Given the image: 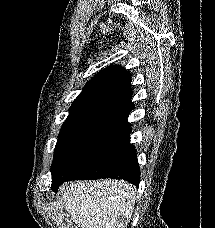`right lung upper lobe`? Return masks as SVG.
Wrapping results in <instances>:
<instances>
[{"instance_id":"right-lung-upper-lobe-1","label":"right lung upper lobe","mask_w":215,"mask_h":228,"mask_svg":"<svg viewBox=\"0 0 215 228\" xmlns=\"http://www.w3.org/2000/svg\"><path fill=\"white\" fill-rule=\"evenodd\" d=\"M131 75L121 66H109L86 83L69 110L61 131L92 121L128 124Z\"/></svg>"}]
</instances>
